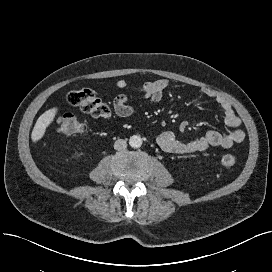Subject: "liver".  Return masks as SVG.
<instances>
[{"mask_svg":"<svg viewBox=\"0 0 272 272\" xmlns=\"http://www.w3.org/2000/svg\"><path fill=\"white\" fill-rule=\"evenodd\" d=\"M58 108L54 107L45 111L36 121V124L33 128L31 139L33 142H37L43 138L46 132V128L53 122Z\"/></svg>","mask_w":272,"mask_h":272,"instance_id":"liver-1","label":"liver"}]
</instances>
